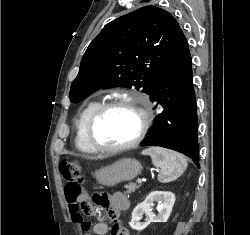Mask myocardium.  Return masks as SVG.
<instances>
[{"label": "myocardium", "instance_id": "1", "mask_svg": "<svg viewBox=\"0 0 250 235\" xmlns=\"http://www.w3.org/2000/svg\"><path fill=\"white\" fill-rule=\"evenodd\" d=\"M121 106L131 108L139 115L140 126L136 136L130 142L121 145L108 146L100 144L95 138V127L98 121L109 110ZM148 127L149 111L147 108V103L144 100L137 98L118 97L101 103L99 107L92 113L86 125L85 136L89 145L94 150L105 153H116L136 147L145 137Z\"/></svg>", "mask_w": 250, "mask_h": 235}]
</instances>
